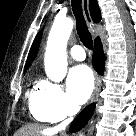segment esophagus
I'll list each match as a JSON object with an SVG mask.
<instances>
[{
    "instance_id": "esophagus-1",
    "label": "esophagus",
    "mask_w": 136,
    "mask_h": 136,
    "mask_svg": "<svg viewBox=\"0 0 136 136\" xmlns=\"http://www.w3.org/2000/svg\"><path fill=\"white\" fill-rule=\"evenodd\" d=\"M82 8H83V13H84L87 25L90 28H92L93 21H92V18L90 15V10H89V0H82ZM92 35H93V37H96V33L94 31L92 32ZM100 89H101V80H100L99 76H96L95 89L92 94L90 103L94 102L97 99Z\"/></svg>"
}]
</instances>
